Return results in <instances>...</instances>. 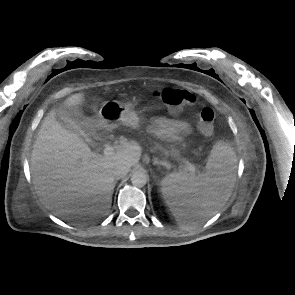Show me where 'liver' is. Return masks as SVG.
Returning a JSON list of instances; mask_svg holds the SVG:
<instances>
[{"mask_svg": "<svg viewBox=\"0 0 295 295\" xmlns=\"http://www.w3.org/2000/svg\"><path fill=\"white\" fill-rule=\"evenodd\" d=\"M83 93L64 102L80 105ZM138 143L127 141L109 157L93 153L76 134L63 128L50 111L43 119L31 153V174L38 197L61 218L93 216L111 207L115 188L113 169L118 163L137 164Z\"/></svg>", "mask_w": 295, "mask_h": 295, "instance_id": "liver-1", "label": "liver"}]
</instances>
